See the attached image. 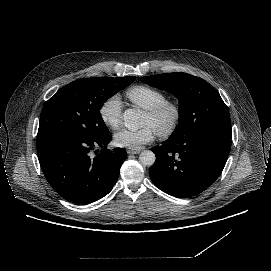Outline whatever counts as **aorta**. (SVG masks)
Instances as JSON below:
<instances>
[{"instance_id": "1", "label": "aorta", "mask_w": 271, "mask_h": 271, "mask_svg": "<svg viewBox=\"0 0 271 271\" xmlns=\"http://www.w3.org/2000/svg\"><path fill=\"white\" fill-rule=\"evenodd\" d=\"M143 114L139 109H127L123 113L124 125L130 131H136L142 127ZM140 163L144 166H152L156 160L155 154L150 150H144L139 155Z\"/></svg>"}]
</instances>
